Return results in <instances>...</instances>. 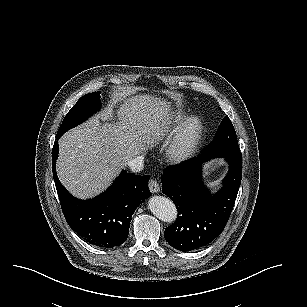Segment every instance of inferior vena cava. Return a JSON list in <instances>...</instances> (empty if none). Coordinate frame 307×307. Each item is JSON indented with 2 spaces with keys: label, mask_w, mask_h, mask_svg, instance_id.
<instances>
[{
  "label": "inferior vena cava",
  "mask_w": 307,
  "mask_h": 307,
  "mask_svg": "<svg viewBox=\"0 0 307 307\" xmlns=\"http://www.w3.org/2000/svg\"><path fill=\"white\" fill-rule=\"evenodd\" d=\"M127 167L133 171H140L143 167V156H136L134 159L128 162Z\"/></svg>",
  "instance_id": "inferior-vena-cava-1"
}]
</instances>
